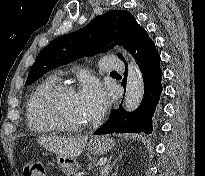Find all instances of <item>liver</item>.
Wrapping results in <instances>:
<instances>
[{
  "label": "liver",
  "mask_w": 205,
  "mask_h": 176,
  "mask_svg": "<svg viewBox=\"0 0 205 176\" xmlns=\"http://www.w3.org/2000/svg\"><path fill=\"white\" fill-rule=\"evenodd\" d=\"M87 136H80L74 139H64L58 137H41L38 139L46 149L58 155L66 157H78L84 150Z\"/></svg>",
  "instance_id": "6515ba94"
}]
</instances>
